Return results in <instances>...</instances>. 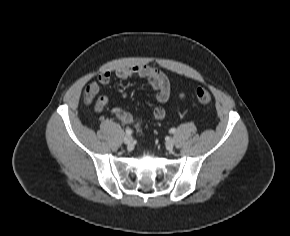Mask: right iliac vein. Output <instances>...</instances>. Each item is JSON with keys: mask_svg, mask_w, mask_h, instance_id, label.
I'll use <instances>...</instances> for the list:
<instances>
[{"mask_svg": "<svg viewBox=\"0 0 290 236\" xmlns=\"http://www.w3.org/2000/svg\"><path fill=\"white\" fill-rule=\"evenodd\" d=\"M123 142L128 145V146H132L133 144V138L130 135H126L123 138Z\"/></svg>", "mask_w": 290, "mask_h": 236, "instance_id": "obj_1", "label": "right iliac vein"}]
</instances>
